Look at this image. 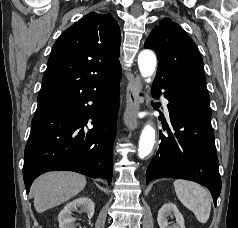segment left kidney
Returning <instances> with one entry per match:
<instances>
[{
    "label": "left kidney",
    "mask_w": 238,
    "mask_h": 228,
    "mask_svg": "<svg viewBox=\"0 0 238 228\" xmlns=\"http://www.w3.org/2000/svg\"><path fill=\"white\" fill-rule=\"evenodd\" d=\"M168 216H174L176 224L168 223ZM157 222L160 228H185L183 215L172 202L165 203L158 211Z\"/></svg>",
    "instance_id": "1"
}]
</instances>
